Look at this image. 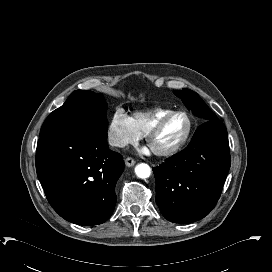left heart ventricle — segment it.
Masks as SVG:
<instances>
[{
	"mask_svg": "<svg viewBox=\"0 0 272 272\" xmlns=\"http://www.w3.org/2000/svg\"><path fill=\"white\" fill-rule=\"evenodd\" d=\"M187 120L182 115L171 118L150 141V148L153 151H160L173 148L179 144L185 136Z\"/></svg>",
	"mask_w": 272,
	"mask_h": 272,
	"instance_id": "1",
	"label": "left heart ventricle"
}]
</instances>
